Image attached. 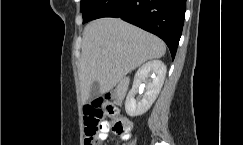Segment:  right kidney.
Here are the masks:
<instances>
[{"label":"right kidney","mask_w":243,"mask_h":145,"mask_svg":"<svg viewBox=\"0 0 243 145\" xmlns=\"http://www.w3.org/2000/svg\"><path fill=\"white\" fill-rule=\"evenodd\" d=\"M166 71L165 64L160 60L149 61L137 70L125 102V110L129 116L135 117L148 111L160 93ZM144 89L142 99L136 101V93Z\"/></svg>","instance_id":"right-kidney-1"}]
</instances>
